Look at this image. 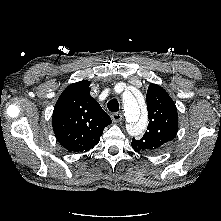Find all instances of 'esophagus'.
Instances as JSON below:
<instances>
[{
	"label": "esophagus",
	"instance_id": "34e87169",
	"mask_svg": "<svg viewBox=\"0 0 221 221\" xmlns=\"http://www.w3.org/2000/svg\"><path fill=\"white\" fill-rule=\"evenodd\" d=\"M111 118L114 122H120L122 120V114L115 112L111 115Z\"/></svg>",
	"mask_w": 221,
	"mask_h": 221
}]
</instances>
